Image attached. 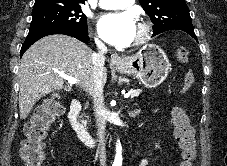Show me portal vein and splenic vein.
<instances>
[{
    "label": "portal vein and splenic vein",
    "instance_id": "obj_1",
    "mask_svg": "<svg viewBox=\"0 0 227 166\" xmlns=\"http://www.w3.org/2000/svg\"><path fill=\"white\" fill-rule=\"evenodd\" d=\"M61 77L64 78L65 80H67L69 84H78V80L76 78L69 77L64 74H61ZM128 97H130V93H126L124 95V98H128Z\"/></svg>",
    "mask_w": 227,
    "mask_h": 166
}]
</instances>
